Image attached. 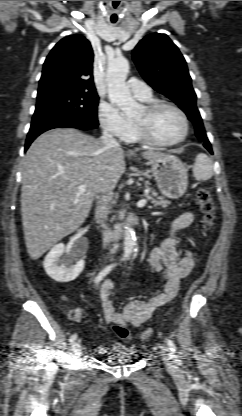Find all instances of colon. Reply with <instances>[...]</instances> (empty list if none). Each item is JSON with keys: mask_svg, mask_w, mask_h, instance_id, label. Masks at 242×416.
Listing matches in <instances>:
<instances>
[{"mask_svg": "<svg viewBox=\"0 0 242 416\" xmlns=\"http://www.w3.org/2000/svg\"><path fill=\"white\" fill-rule=\"evenodd\" d=\"M198 207L200 213L202 215V222L205 227H210L213 223L214 219V206L210 197L209 192L204 189L200 188L196 194ZM114 332L121 338H129L130 331L128 327L121 323L114 324ZM153 336L152 329H146L140 334L141 340H149Z\"/></svg>", "mask_w": 242, "mask_h": 416, "instance_id": "1", "label": "colon"}]
</instances>
